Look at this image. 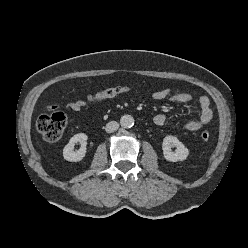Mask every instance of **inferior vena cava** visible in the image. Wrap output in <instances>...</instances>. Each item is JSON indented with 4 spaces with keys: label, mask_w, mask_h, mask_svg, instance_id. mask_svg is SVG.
<instances>
[{
    "label": "inferior vena cava",
    "mask_w": 248,
    "mask_h": 248,
    "mask_svg": "<svg viewBox=\"0 0 248 248\" xmlns=\"http://www.w3.org/2000/svg\"><path fill=\"white\" fill-rule=\"evenodd\" d=\"M118 128H119L118 122L111 121V122L106 124L105 131L107 133H112V132L116 131Z\"/></svg>",
    "instance_id": "inferior-vena-cava-1"
}]
</instances>
